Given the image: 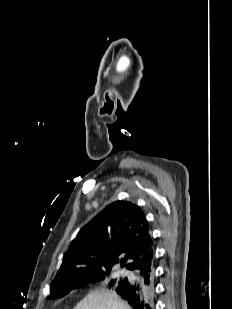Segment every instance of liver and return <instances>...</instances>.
<instances>
[{"instance_id":"obj_1","label":"liver","mask_w":232,"mask_h":309,"mask_svg":"<svg viewBox=\"0 0 232 309\" xmlns=\"http://www.w3.org/2000/svg\"><path fill=\"white\" fill-rule=\"evenodd\" d=\"M74 309H132L115 292L98 289L90 292Z\"/></svg>"}]
</instances>
